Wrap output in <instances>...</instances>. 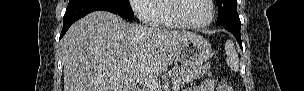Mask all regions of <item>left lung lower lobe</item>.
<instances>
[{
	"mask_svg": "<svg viewBox=\"0 0 304 91\" xmlns=\"http://www.w3.org/2000/svg\"><path fill=\"white\" fill-rule=\"evenodd\" d=\"M223 27L230 31L237 39L240 48L242 49V41H241V36H240V28H241V22L239 23H229L226 25H223Z\"/></svg>",
	"mask_w": 304,
	"mask_h": 91,
	"instance_id": "obj_1",
	"label": "left lung lower lobe"
}]
</instances>
